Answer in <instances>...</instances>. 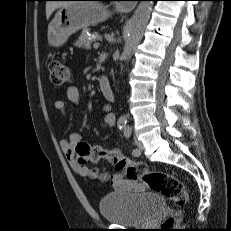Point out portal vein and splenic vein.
<instances>
[{
  "label": "portal vein and splenic vein",
  "mask_w": 231,
  "mask_h": 231,
  "mask_svg": "<svg viewBox=\"0 0 231 231\" xmlns=\"http://www.w3.org/2000/svg\"><path fill=\"white\" fill-rule=\"evenodd\" d=\"M99 46H100V43H99V42H95L94 45H93V47H94L95 49H98Z\"/></svg>",
  "instance_id": "obj_1"
}]
</instances>
